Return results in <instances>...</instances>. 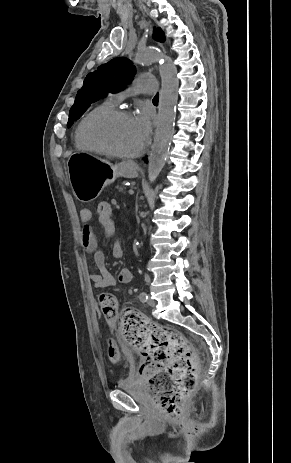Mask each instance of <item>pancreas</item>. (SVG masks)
Returning <instances> with one entry per match:
<instances>
[{"label":"pancreas","instance_id":"obj_1","mask_svg":"<svg viewBox=\"0 0 291 463\" xmlns=\"http://www.w3.org/2000/svg\"><path fill=\"white\" fill-rule=\"evenodd\" d=\"M116 190H117L119 193H121V194H126L127 188H126V186L124 185V183H121V184H118V185L116 186Z\"/></svg>","mask_w":291,"mask_h":463}]
</instances>
